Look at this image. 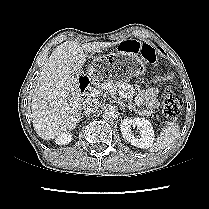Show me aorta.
<instances>
[{
  "label": "aorta",
  "instance_id": "1",
  "mask_svg": "<svg viewBox=\"0 0 209 209\" xmlns=\"http://www.w3.org/2000/svg\"><path fill=\"white\" fill-rule=\"evenodd\" d=\"M103 118L107 121H113L118 118V110L115 107H107L103 111Z\"/></svg>",
  "mask_w": 209,
  "mask_h": 209
}]
</instances>
